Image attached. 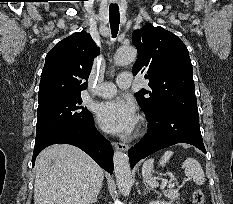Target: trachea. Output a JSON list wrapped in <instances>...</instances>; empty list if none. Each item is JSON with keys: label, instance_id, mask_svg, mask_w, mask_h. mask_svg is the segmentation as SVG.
Instances as JSON below:
<instances>
[{"label": "trachea", "instance_id": "1", "mask_svg": "<svg viewBox=\"0 0 233 204\" xmlns=\"http://www.w3.org/2000/svg\"><path fill=\"white\" fill-rule=\"evenodd\" d=\"M109 21H110L112 37L115 38L119 30V21H120L119 7L117 5H111L109 7Z\"/></svg>", "mask_w": 233, "mask_h": 204}]
</instances>
